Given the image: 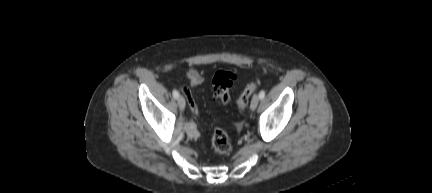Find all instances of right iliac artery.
Here are the masks:
<instances>
[{
    "label": "right iliac artery",
    "instance_id": "1",
    "mask_svg": "<svg viewBox=\"0 0 432 193\" xmlns=\"http://www.w3.org/2000/svg\"><path fill=\"white\" fill-rule=\"evenodd\" d=\"M173 97L177 99L179 97V92L177 90H173Z\"/></svg>",
    "mask_w": 432,
    "mask_h": 193
}]
</instances>
